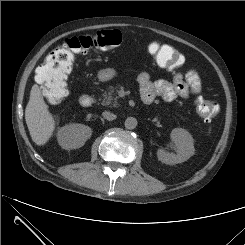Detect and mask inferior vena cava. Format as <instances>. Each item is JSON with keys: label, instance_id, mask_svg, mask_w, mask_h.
<instances>
[{"label": "inferior vena cava", "instance_id": "602c4592", "mask_svg": "<svg viewBox=\"0 0 245 245\" xmlns=\"http://www.w3.org/2000/svg\"><path fill=\"white\" fill-rule=\"evenodd\" d=\"M102 116H103L106 120H108V121H112V120L116 119V115L113 114V113H111V112H109V111L103 112V113H102Z\"/></svg>", "mask_w": 245, "mask_h": 245}]
</instances>
